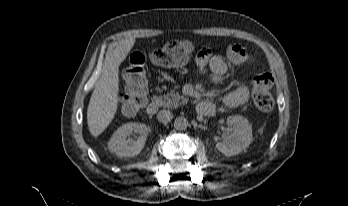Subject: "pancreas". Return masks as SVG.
<instances>
[{
  "mask_svg": "<svg viewBox=\"0 0 348 206\" xmlns=\"http://www.w3.org/2000/svg\"><path fill=\"white\" fill-rule=\"evenodd\" d=\"M163 99L164 107L167 108H178L181 105L187 103L188 99H186L183 95L179 93L170 92L161 97Z\"/></svg>",
  "mask_w": 348,
  "mask_h": 206,
  "instance_id": "1",
  "label": "pancreas"
}]
</instances>
